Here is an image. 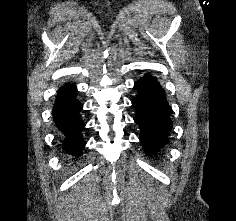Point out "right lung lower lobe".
Masks as SVG:
<instances>
[{
    "mask_svg": "<svg viewBox=\"0 0 236 221\" xmlns=\"http://www.w3.org/2000/svg\"><path fill=\"white\" fill-rule=\"evenodd\" d=\"M76 87L65 84L58 91L53 108V118L57 128L65 136L63 149L74 156H79L85 145L81 136L84 122L79 116L82 105L76 99Z\"/></svg>",
    "mask_w": 236,
    "mask_h": 221,
    "instance_id": "right-lung-lower-lobe-1",
    "label": "right lung lower lobe"
}]
</instances>
